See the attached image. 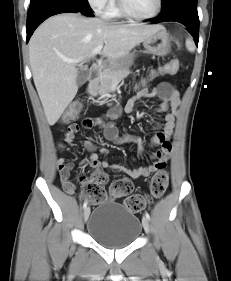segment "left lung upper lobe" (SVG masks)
<instances>
[{
    "label": "left lung upper lobe",
    "instance_id": "obj_1",
    "mask_svg": "<svg viewBox=\"0 0 231 281\" xmlns=\"http://www.w3.org/2000/svg\"><path fill=\"white\" fill-rule=\"evenodd\" d=\"M162 1H163L162 5H165V4L169 3L172 0H162Z\"/></svg>",
    "mask_w": 231,
    "mask_h": 281
}]
</instances>
